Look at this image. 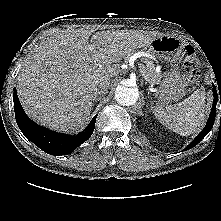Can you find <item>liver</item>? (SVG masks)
<instances>
[{
    "mask_svg": "<svg viewBox=\"0 0 221 221\" xmlns=\"http://www.w3.org/2000/svg\"><path fill=\"white\" fill-rule=\"evenodd\" d=\"M90 35L87 30L57 33L24 60L17 92L35 122L59 131L81 127L91 112L95 90L108 88L121 72L120 61L159 36L142 30Z\"/></svg>",
    "mask_w": 221,
    "mask_h": 221,
    "instance_id": "obj_1",
    "label": "liver"
}]
</instances>
